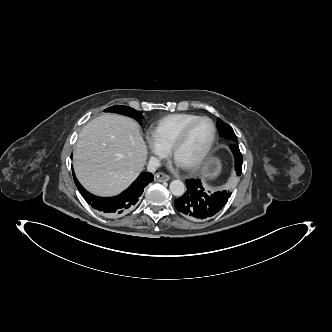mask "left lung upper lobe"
Instances as JSON below:
<instances>
[{
    "label": "left lung upper lobe",
    "mask_w": 332,
    "mask_h": 332,
    "mask_svg": "<svg viewBox=\"0 0 332 332\" xmlns=\"http://www.w3.org/2000/svg\"><path fill=\"white\" fill-rule=\"evenodd\" d=\"M217 128H218L219 134L222 137L232 140L234 142H238L233 129L219 118L217 119ZM230 148H231V145H230ZM237 175H240V173L239 174L237 173Z\"/></svg>",
    "instance_id": "left-lung-upper-lobe-1"
}]
</instances>
